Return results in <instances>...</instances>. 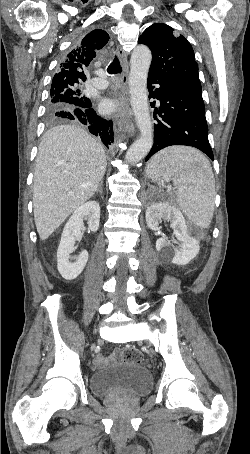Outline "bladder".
<instances>
[{"label": "bladder", "instance_id": "31cf9c89", "mask_svg": "<svg viewBox=\"0 0 250 454\" xmlns=\"http://www.w3.org/2000/svg\"><path fill=\"white\" fill-rule=\"evenodd\" d=\"M150 371L138 363H119L93 372L89 377L90 391L99 398L148 395L152 389Z\"/></svg>", "mask_w": 250, "mask_h": 454}]
</instances>
